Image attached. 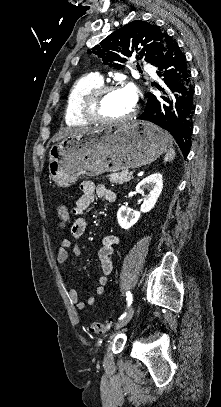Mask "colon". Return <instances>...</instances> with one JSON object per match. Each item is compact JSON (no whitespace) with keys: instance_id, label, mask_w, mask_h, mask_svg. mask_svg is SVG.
<instances>
[{"instance_id":"obj_1","label":"colon","mask_w":221,"mask_h":407,"mask_svg":"<svg viewBox=\"0 0 221 407\" xmlns=\"http://www.w3.org/2000/svg\"><path fill=\"white\" fill-rule=\"evenodd\" d=\"M59 226L65 228L71 219V212L66 206H60L57 211ZM113 321L93 322L88 326V331L96 334H105L112 330Z\"/></svg>"}]
</instances>
